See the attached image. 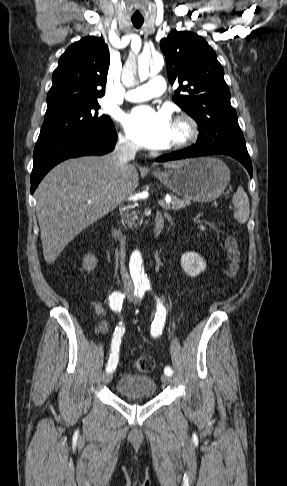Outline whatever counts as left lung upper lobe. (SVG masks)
Wrapping results in <instances>:
<instances>
[{
	"label": "left lung upper lobe",
	"mask_w": 287,
	"mask_h": 486,
	"mask_svg": "<svg viewBox=\"0 0 287 486\" xmlns=\"http://www.w3.org/2000/svg\"><path fill=\"white\" fill-rule=\"evenodd\" d=\"M160 47L167 60L169 82L179 83L173 101L198 124L196 146L247 151L223 68L205 39L173 30L161 40Z\"/></svg>",
	"instance_id": "1"
}]
</instances>
